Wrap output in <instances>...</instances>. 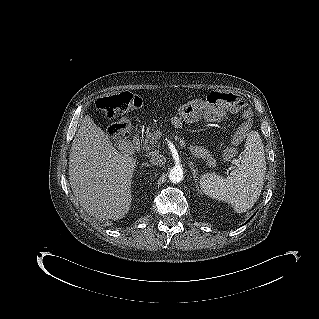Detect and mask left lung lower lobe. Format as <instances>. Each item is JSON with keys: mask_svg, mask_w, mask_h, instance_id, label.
<instances>
[{"mask_svg": "<svg viewBox=\"0 0 319 319\" xmlns=\"http://www.w3.org/2000/svg\"><path fill=\"white\" fill-rule=\"evenodd\" d=\"M254 215H255V214H253V215L251 216V218H252ZM251 218H250L248 221H250V220H251ZM248 221H247V222H248Z\"/></svg>", "mask_w": 319, "mask_h": 319, "instance_id": "0a47b994", "label": "left lung lower lobe"}]
</instances>
